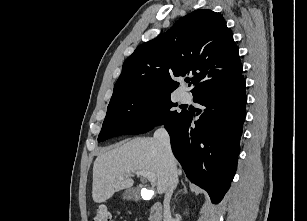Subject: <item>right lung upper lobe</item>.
Returning <instances> with one entry per match:
<instances>
[{"label":"right lung upper lobe","mask_w":307,"mask_h":221,"mask_svg":"<svg viewBox=\"0 0 307 221\" xmlns=\"http://www.w3.org/2000/svg\"><path fill=\"white\" fill-rule=\"evenodd\" d=\"M239 51L224 18L199 9L159 37L141 44L123 63L110 104L135 94H170L173 77L194 75L193 97L244 81Z\"/></svg>","instance_id":"1"}]
</instances>
